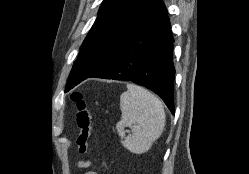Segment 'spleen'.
Returning <instances> with one entry per match:
<instances>
[{"mask_svg": "<svg viewBox=\"0 0 249 174\" xmlns=\"http://www.w3.org/2000/svg\"><path fill=\"white\" fill-rule=\"evenodd\" d=\"M120 109L122 115L116 129L122 145L135 154L147 152L165 126L161 101L148 90L127 84V91L120 96ZM125 127H131V135L125 136Z\"/></svg>", "mask_w": 249, "mask_h": 174, "instance_id": "spleen-1", "label": "spleen"}]
</instances>
